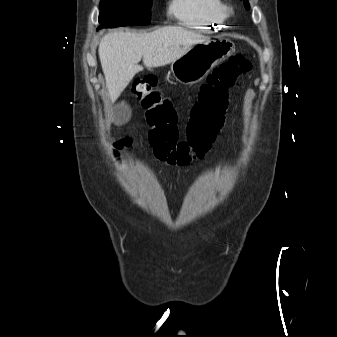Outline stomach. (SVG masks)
<instances>
[{"instance_id":"obj_1","label":"stomach","mask_w":337,"mask_h":337,"mask_svg":"<svg viewBox=\"0 0 337 337\" xmlns=\"http://www.w3.org/2000/svg\"><path fill=\"white\" fill-rule=\"evenodd\" d=\"M234 50V43L227 38L207 40L191 46L184 55L172 62L171 71L179 82L195 84Z\"/></svg>"}]
</instances>
